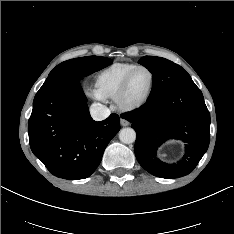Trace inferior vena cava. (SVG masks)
Instances as JSON below:
<instances>
[{
	"label": "inferior vena cava",
	"mask_w": 234,
	"mask_h": 234,
	"mask_svg": "<svg viewBox=\"0 0 234 234\" xmlns=\"http://www.w3.org/2000/svg\"><path fill=\"white\" fill-rule=\"evenodd\" d=\"M90 115L95 121H102L110 115V110L103 104L93 103L90 107Z\"/></svg>",
	"instance_id": "obj_1"
}]
</instances>
